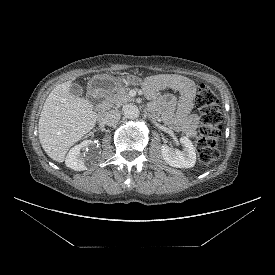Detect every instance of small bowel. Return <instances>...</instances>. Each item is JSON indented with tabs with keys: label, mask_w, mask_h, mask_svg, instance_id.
Instances as JSON below:
<instances>
[{
	"label": "small bowel",
	"mask_w": 275,
	"mask_h": 275,
	"mask_svg": "<svg viewBox=\"0 0 275 275\" xmlns=\"http://www.w3.org/2000/svg\"><path fill=\"white\" fill-rule=\"evenodd\" d=\"M142 86L146 94L154 99L150 109L163 112L165 122L173 129L189 136L196 135L198 117L191 114L196 87L192 80L181 75H158L144 79ZM167 88L174 90L177 95L157 96L159 91Z\"/></svg>",
	"instance_id": "c3829d8e"
}]
</instances>
